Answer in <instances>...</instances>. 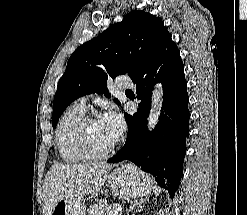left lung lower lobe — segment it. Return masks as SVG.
<instances>
[{
	"instance_id": "0a47b994",
	"label": "left lung lower lobe",
	"mask_w": 247,
	"mask_h": 215,
	"mask_svg": "<svg viewBox=\"0 0 247 215\" xmlns=\"http://www.w3.org/2000/svg\"><path fill=\"white\" fill-rule=\"evenodd\" d=\"M132 81L136 84L137 99L141 102L133 116L124 114L128 124L126 143L107 162H133L152 174L159 186L166 188L173 198L183 174L190 114L184 65L172 39L165 43L148 68ZM156 82L162 83L164 101L160 121L150 132L146 127L147 115L151 106L152 85Z\"/></svg>"
}]
</instances>
